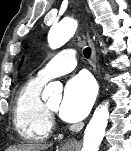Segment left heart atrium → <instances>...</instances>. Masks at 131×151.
Returning a JSON list of instances; mask_svg holds the SVG:
<instances>
[{
    "instance_id": "39dd6f15",
    "label": "left heart atrium",
    "mask_w": 131,
    "mask_h": 151,
    "mask_svg": "<svg viewBox=\"0 0 131 151\" xmlns=\"http://www.w3.org/2000/svg\"><path fill=\"white\" fill-rule=\"evenodd\" d=\"M95 94V83L88 74L81 73L71 78L59 107L61 118L68 122L82 120L90 111Z\"/></svg>"
}]
</instances>
